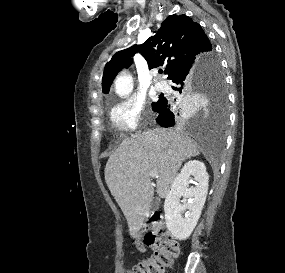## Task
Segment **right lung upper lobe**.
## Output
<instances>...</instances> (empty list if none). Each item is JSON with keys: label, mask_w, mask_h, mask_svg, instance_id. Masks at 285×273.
Wrapping results in <instances>:
<instances>
[{"label": "right lung upper lobe", "mask_w": 285, "mask_h": 273, "mask_svg": "<svg viewBox=\"0 0 285 273\" xmlns=\"http://www.w3.org/2000/svg\"><path fill=\"white\" fill-rule=\"evenodd\" d=\"M136 52L146 59L150 69L164 65L168 79L186 67L195 65L202 58L215 54L198 23L184 14L168 16L156 35L151 36L142 45L119 51L106 64L102 78L103 93L109 92L116 74L131 65L132 56ZM181 107L185 105L181 104Z\"/></svg>", "instance_id": "cb5924a9"}]
</instances>
